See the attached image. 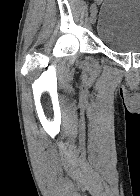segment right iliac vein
Listing matches in <instances>:
<instances>
[{
	"mask_svg": "<svg viewBox=\"0 0 140 196\" xmlns=\"http://www.w3.org/2000/svg\"><path fill=\"white\" fill-rule=\"evenodd\" d=\"M90 20L92 24H95L96 22V13H95V9L92 10L91 16H90Z\"/></svg>",
	"mask_w": 140,
	"mask_h": 196,
	"instance_id": "63e3f726",
	"label": "right iliac vein"
}]
</instances>
